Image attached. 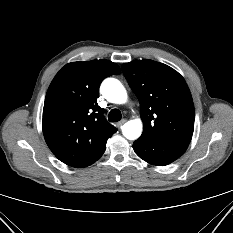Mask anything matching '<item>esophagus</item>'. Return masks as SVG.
<instances>
[{"label": "esophagus", "instance_id": "34e87169", "mask_svg": "<svg viewBox=\"0 0 233 233\" xmlns=\"http://www.w3.org/2000/svg\"><path fill=\"white\" fill-rule=\"evenodd\" d=\"M126 123V120H121L120 122L117 123L118 127H122Z\"/></svg>", "mask_w": 233, "mask_h": 233}]
</instances>
